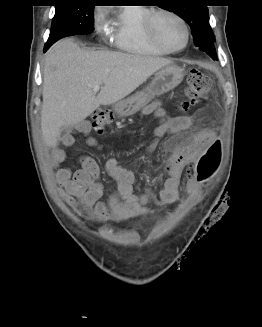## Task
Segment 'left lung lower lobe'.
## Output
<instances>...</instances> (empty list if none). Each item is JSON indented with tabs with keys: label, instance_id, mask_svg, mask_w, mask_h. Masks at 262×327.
I'll list each match as a JSON object with an SVG mask.
<instances>
[{
	"label": "left lung lower lobe",
	"instance_id": "0a47b994",
	"mask_svg": "<svg viewBox=\"0 0 262 327\" xmlns=\"http://www.w3.org/2000/svg\"><path fill=\"white\" fill-rule=\"evenodd\" d=\"M199 50L201 51H205L206 53H208L214 60L216 59V53H215V47H214V43H208V44H204L202 46L199 47Z\"/></svg>",
	"mask_w": 262,
	"mask_h": 327
}]
</instances>
